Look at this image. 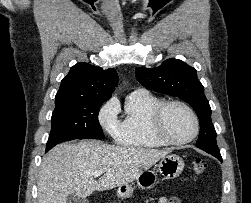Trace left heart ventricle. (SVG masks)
<instances>
[{
	"label": "left heart ventricle",
	"instance_id": "left-heart-ventricle-1",
	"mask_svg": "<svg viewBox=\"0 0 251 203\" xmlns=\"http://www.w3.org/2000/svg\"><path fill=\"white\" fill-rule=\"evenodd\" d=\"M163 129L165 133L177 140L188 138L194 129V123L190 114L181 106H171L167 109Z\"/></svg>",
	"mask_w": 251,
	"mask_h": 203
}]
</instances>
